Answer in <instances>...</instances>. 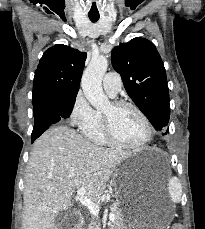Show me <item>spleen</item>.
I'll list each match as a JSON object with an SVG mask.
<instances>
[{
  "mask_svg": "<svg viewBox=\"0 0 205 229\" xmlns=\"http://www.w3.org/2000/svg\"><path fill=\"white\" fill-rule=\"evenodd\" d=\"M170 198L173 203L181 202L182 186L177 177H172L168 183Z\"/></svg>",
  "mask_w": 205,
  "mask_h": 229,
  "instance_id": "1",
  "label": "spleen"
}]
</instances>
